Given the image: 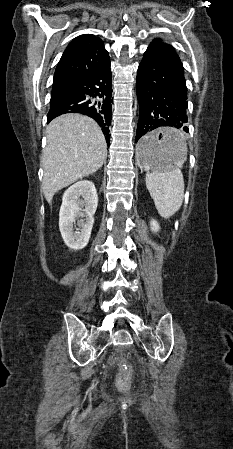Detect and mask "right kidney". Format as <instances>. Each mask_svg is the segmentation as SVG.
<instances>
[{
	"mask_svg": "<svg viewBox=\"0 0 233 449\" xmlns=\"http://www.w3.org/2000/svg\"><path fill=\"white\" fill-rule=\"evenodd\" d=\"M97 205V191L92 181H79L64 193L59 212V228L65 244L70 249L81 250L87 245ZM83 217L86 219H79ZM76 220L79 228L74 231Z\"/></svg>",
	"mask_w": 233,
	"mask_h": 449,
	"instance_id": "right-kidney-1",
	"label": "right kidney"
}]
</instances>
